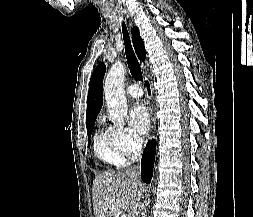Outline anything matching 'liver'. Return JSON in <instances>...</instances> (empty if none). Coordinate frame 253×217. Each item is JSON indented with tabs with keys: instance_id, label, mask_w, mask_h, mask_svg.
Returning a JSON list of instances; mask_svg holds the SVG:
<instances>
[{
	"instance_id": "6515ba94",
	"label": "liver",
	"mask_w": 253,
	"mask_h": 217,
	"mask_svg": "<svg viewBox=\"0 0 253 217\" xmlns=\"http://www.w3.org/2000/svg\"><path fill=\"white\" fill-rule=\"evenodd\" d=\"M144 185L127 172H105L95 177L92 201L95 217H116L125 210L135 217L140 205Z\"/></svg>"
}]
</instances>
